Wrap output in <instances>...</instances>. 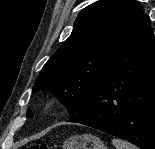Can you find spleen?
Instances as JSON below:
<instances>
[{
    "label": "spleen",
    "mask_w": 155,
    "mask_h": 149,
    "mask_svg": "<svg viewBox=\"0 0 155 149\" xmlns=\"http://www.w3.org/2000/svg\"><path fill=\"white\" fill-rule=\"evenodd\" d=\"M112 143L116 149H138L136 146L128 143L127 141L114 138L112 139Z\"/></svg>",
    "instance_id": "3e777b00"
}]
</instances>
